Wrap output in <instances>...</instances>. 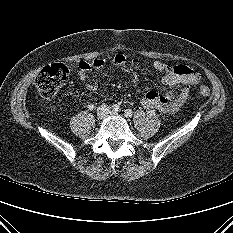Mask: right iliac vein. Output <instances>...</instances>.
I'll return each instance as SVG.
<instances>
[{
    "label": "right iliac vein",
    "mask_w": 233,
    "mask_h": 233,
    "mask_svg": "<svg viewBox=\"0 0 233 233\" xmlns=\"http://www.w3.org/2000/svg\"><path fill=\"white\" fill-rule=\"evenodd\" d=\"M109 110L106 107L100 108L97 112L99 118H104L108 115Z\"/></svg>",
    "instance_id": "obj_1"
}]
</instances>
